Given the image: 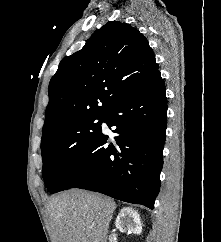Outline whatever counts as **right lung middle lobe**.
<instances>
[{"instance_id": "obj_1", "label": "right lung middle lobe", "mask_w": 221, "mask_h": 242, "mask_svg": "<svg viewBox=\"0 0 221 242\" xmlns=\"http://www.w3.org/2000/svg\"><path fill=\"white\" fill-rule=\"evenodd\" d=\"M102 122L103 115H87L42 136V175L48 191L54 189L73 161L101 132Z\"/></svg>"}]
</instances>
